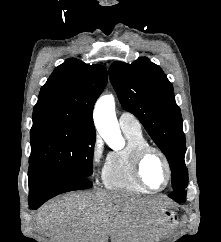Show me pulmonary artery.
I'll list each match as a JSON object with an SVG mask.
<instances>
[{"mask_svg": "<svg viewBox=\"0 0 221 242\" xmlns=\"http://www.w3.org/2000/svg\"><path fill=\"white\" fill-rule=\"evenodd\" d=\"M119 125L123 129H131L134 131H140L141 125L139 121L130 113L122 112L119 116Z\"/></svg>", "mask_w": 221, "mask_h": 242, "instance_id": "obj_1", "label": "pulmonary artery"}]
</instances>
